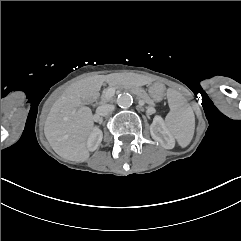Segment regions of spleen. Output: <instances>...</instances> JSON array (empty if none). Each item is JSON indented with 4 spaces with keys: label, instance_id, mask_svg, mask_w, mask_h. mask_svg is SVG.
Wrapping results in <instances>:
<instances>
[{
    "label": "spleen",
    "instance_id": "3e777b00",
    "mask_svg": "<svg viewBox=\"0 0 241 241\" xmlns=\"http://www.w3.org/2000/svg\"><path fill=\"white\" fill-rule=\"evenodd\" d=\"M170 112L165 118V124L172 136L181 147H186L191 142L195 130V117L187 101L173 88L167 89Z\"/></svg>",
    "mask_w": 241,
    "mask_h": 241
}]
</instances>
